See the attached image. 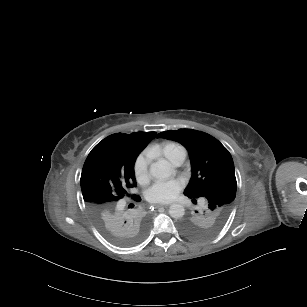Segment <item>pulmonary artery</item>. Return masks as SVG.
I'll list each match as a JSON object with an SVG mask.
<instances>
[{"label":"pulmonary artery","instance_id":"1","mask_svg":"<svg viewBox=\"0 0 307 307\" xmlns=\"http://www.w3.org/2000/svg\"><path fill=\"white\" fill-rule=\"evenodd\" d=\"M156 152H162L165 157L175 166L181 165L187 156V152L183 149H173V148H165L160 149L158 147L155 148ZM121 206H125V202L121 203Z\"/></svg>","mask_w":307,"mask_h":307}]
</instances>
